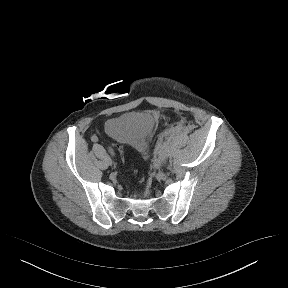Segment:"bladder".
I'll return each instance as SVG.
<instances>
[{"label": "bladder", "mask_w": 288, "mask_h": 288, "mask_svg": "<svg viewBox=\"0 0 288 288\" xmlns=\"http://www.w3.org/2000/svg\"><path fill=\"white\" fill-rule=\"evenodd\" d=\"M155 125L156 118L154 115L147 112H136L110 120L105 125V131L113 138L139 146Z\"/></svg>", "instance_id": "bladder-1"}]
</instances>
